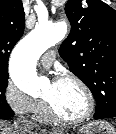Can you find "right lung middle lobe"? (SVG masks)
I'll return each mask as SVG.
<instances>
[{
    "label": "right lung middle lobe",
    "mask_w": 116,
    "mask_h": 134,
    "mask_svg": "<svg viewBox=\"0 0 116 134\" xmlns=\"http://www.w3.org/2000/svg\"><path fill=\"white\" fill-rule=\"evenodd\" d=\"M8 78L9 76L7 73L0 74V118H4V116H8L13 113L5 97V91L8 85Z\"/></svg>",
    "instance_id": "dd1d6c3e"
}]
</instances>
